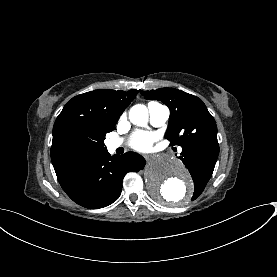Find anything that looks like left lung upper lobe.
<instances>
[{
  "mask_svg": "<svg viewBox=\"0 0 277 277\" xmlns=\"http://www.w3.org/2000/svg\"><path fill=\"white\" fill-rule=\"evenodd\" d=\"M141 94L146 99L160 100L169 107L165 138L170 141V145L183 147L204 140L217 141L216 122L200 98L175 88L141 91ZM210 177L204 174L193 180V199L202 193Z\"/></svg>",
  "mask_w": 277,
  "mask_h": 277,
  "instance_id": "obj_1",
  "label": "left lung upper lobe"
}]
</instances>
